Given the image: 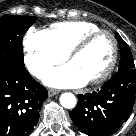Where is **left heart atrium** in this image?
I'll use <instances>...</instances> for the list:
<instances>
[{"mask_svg":"<svg viewBox=\"0 0 136 136\" xmlns=\"http://www.w3.org/2000/svg\"><path fill=\"white\" fill-rule=\"evenodd\" d=\"M44 82L52 87L74 88L81 87L87 83L83 74L71 63L51 70Z\"/></svg>","mask_w":136,"mask_h":136,"instance_id":"left-heart-atrium-1","label":"left heart atrium"}]
</instances>
